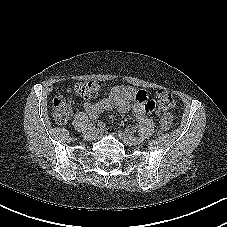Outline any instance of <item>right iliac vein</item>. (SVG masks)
I'll use <instances>...</instances> for the list:
<instances>
[{
	"label": "right iliac vein",
	"mask_w": 227,
	"mask_h": 227,
	"mask_svg": "<svg viewBox=\"0 0 227 227\" xmlns=\"http://www.w3.org/2000/svg\"><path fill=\"white\" fill-rule=\"evenodd\" d=\"M97 133V129H94L92 125L91 128H88L83 136L86 140H94L97 136Z\"/></svg>",
	"instance_id": "1"
}]
</instances>
